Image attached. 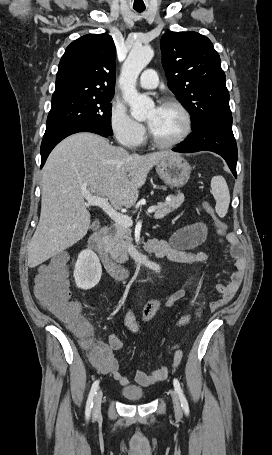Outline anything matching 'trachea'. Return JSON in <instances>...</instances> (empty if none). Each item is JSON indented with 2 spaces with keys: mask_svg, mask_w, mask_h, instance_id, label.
<instances>
[{
  "mask_svg": "<svg viewBox=\"0 0 272 455\" xmlns=\"http://www.w3.org/2000/svg\"><path fill=\"white\" fill-rule=\"evenodd\" d=\"M137 12L141 13L145 10V8H134Z\"/></svg>",
  "mask_w": 272,
  "mask_h": 455,
  "instance_id": "trachea-1",
  "label": "trachea"
}]
</instances>
